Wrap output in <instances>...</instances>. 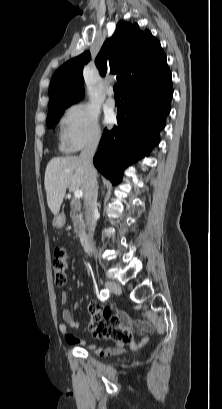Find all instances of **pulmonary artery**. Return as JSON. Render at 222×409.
Segmentation results:
<instances>
[{
	"label": "pulmonary artery",
	"instance_id": "obj_1",
	"mask_svg": "<svg viewBox=\"0 0 222 409\" xmlns=\"http://www.w3.org/2000/svg\"><path fill=\"white\" fill-rule=\"evenodd\" d=\"M106 104L111 107L115 105V99L113 97V89L111 86H109L107 89Z\"/></svg>",
	"mask_w": 222,
	"mask_h": 409
}]
</instances>
